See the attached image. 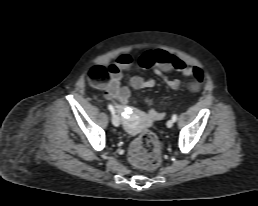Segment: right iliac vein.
Masks as SVG:
<instances>
[{
	"mask_svg": "<svg viewBox=\"0 0 258 206\" xmlns=\"http://www.w3.org/2000/svg\"><path fill=\"white\" fill-rule=\"evenodd\" d=\"M112 123L114 126L118 127L120 125V119L117 115L113 114Z\"/></svg>",
	"mask_w": 258,
	"mask_h": 206,
	"instance_id": "obj_1",
	"label": "right iliac vein"
}]
</instances>
